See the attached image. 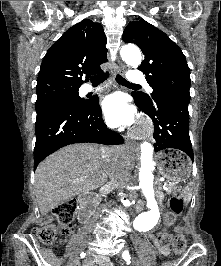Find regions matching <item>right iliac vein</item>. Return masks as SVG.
<instances>
[{
    "label": "right iliac vein",
    "instance_id": "obj_1",
    "mask_svg": "<svg viewBox=\"0 0 221 266\" xmlns=\"http://www.w3.org/2000/svg\"><path fill=\"white\" fill-rule=\"evenodd\" d=\"M86 243L82 244L72 255L69 266H76L78 263L79 254L84 250Z\"/></svg>",
    "mask_w": 221,
    "mask_h": 266
}]
</instances>
